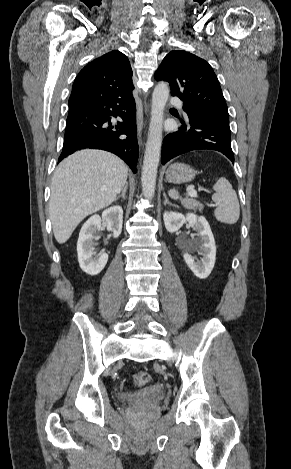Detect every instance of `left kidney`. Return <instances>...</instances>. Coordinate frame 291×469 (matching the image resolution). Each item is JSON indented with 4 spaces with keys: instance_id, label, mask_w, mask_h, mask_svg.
Masks as SVG:
<instances>
[{
    "instance_id": "5707ae66",
    "label": "left kidney",
    "mask_w": 291,
    "mask_h": 469,
    "mask_svg": "<svg viewBox=\"0 0 291 469\" xmlns=\"http://www.w3.org/2000/svg\"><path fill=\"white\" fill-rule=\"evenodd\" d=\"M163 218L165 227L170 233L178 231L185 222H188L197 231L199 238L191 244L188 251L197 250L202 255L201 261H196L188 252L183 254V258L196 277L206 279L213 270L216 261L215 240L207 220L193 213H188L185 216L173 211H166Z\"/></svg>"
}]
</instances>
